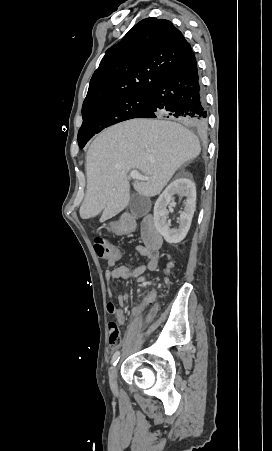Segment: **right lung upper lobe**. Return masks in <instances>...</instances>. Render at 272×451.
Masks as SVG:
<instances>
[{"label": "right lung upper lobe", "mask_w": 272, "mask_h": 451, "mask_svg": "<svg viewBox=\"0 0 272 451\" xmlns=\"http://www.w3.org/2000/svg\"><path fill=\"white\" fill-rule=\"evenodd\" d=\"M173 24L147 18L106 51L94 72L82 112L104 101L150 92L193 55Z\"/></svg>", "instance_id": "obj_1"}]
</instances>
